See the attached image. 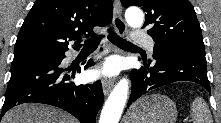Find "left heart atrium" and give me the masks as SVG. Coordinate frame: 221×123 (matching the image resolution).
Masks as SVG:
<instances>
[{
	"label": "left heart atrium",
	"instance_id": "1",
	"mask_svg": "<svg viewBox=\"0 0 221 123\" xmlns=\"http://www.w3.org/2000/svg\"><path fill=\"white\" fill-rule=\"evenodd\" d=\"M118 72V64L113 61H107L102 68L93 72V76H112Z\"/></svg>",
	"mask_w": 221,
	"mask_h": 123
}]
</instances>
